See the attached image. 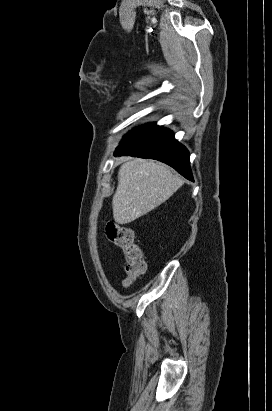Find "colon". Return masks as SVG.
I'll return each mask as SVG.
<instances>
[{
  "label": "colon",
  "instance_id": "obj_1",
  "mask_svg": "<svg viewBox=\"0 0 272 411\" xmlns=\"http://www.w3.org/2000/svg\"><path fill=\"white\" fill-rule=\"evenodd\" d=\"M106 235L110 242L123 249L125 253L123 283L131 286L146 270L145 255L135 240L133 229L122 224L109 222L106 225Z\"/></svg>",
  "mask_w": 272,
  "mask_h": 411
}]
</instances>
